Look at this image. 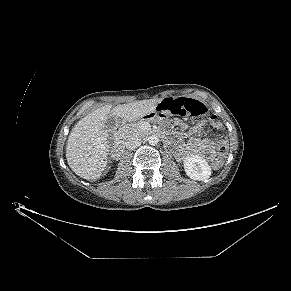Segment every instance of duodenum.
Wrapping results in <instances>:
<instances>
[{
  "mask_svg": "<svg viewBox=\"0 0 291 291\" xmlns=\"http://www.w3.org/2000/svg\"><path fill=\"white\" fill-rule=\"evenodd\" d=\"M151 135L161 136V131H153L150 133ZM124 151V141L122 139H117L112 147V155L115 159H119Z\"/></svg>",
  "mask_w": 291,
  "mask_h": 291,
  "instance_id": "1",
  "label": "duodenum"
}]
</instances>
